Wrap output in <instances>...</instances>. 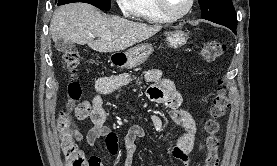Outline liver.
<instances>
[{"instance_id": "obj_1", "label": "liver", "mask_w": 277, "mask_h": 166, "mask_svg": "<svg viewBox=\"0 0 277 166\" xmlns=\"http://www.w3.org/2000/svg\"><path fill=\"white\" fill-rule=\"evenodd\" d=\"M162 29L160 25L133 22L118 16H106L87 3H71L57 9L50 23L54 42L69 40L103 52L123 51ZM97 37V40H94Z\"/></svg>"}]
</instances>
